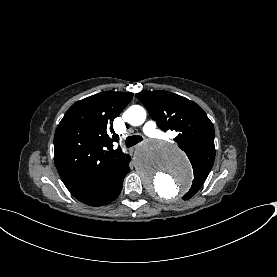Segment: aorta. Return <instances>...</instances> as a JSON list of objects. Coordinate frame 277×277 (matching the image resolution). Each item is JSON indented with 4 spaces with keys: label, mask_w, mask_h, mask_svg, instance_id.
Returning <instances> with one entry per match:
<instances>
[{
    "label": "aorta",
    "mask_w": 277,
    "mask_h": 277,
    "mask_svg": "<svg viewBox=\"0 0 277 277\" xmlns=\"http://www.w3.org/2000/svg\"><path fill=\"white\" fill-rule=\"evenodd\" d=\"M126 119L131 125L139 126L146 119V111L142 106L133 105L127 110ZM135 167L147 192L161 201L174 200L192 183L186 155L165 141L142 142L136 150Z\"/></svg>",
    "instance_id": "1"
}]
</instances>
